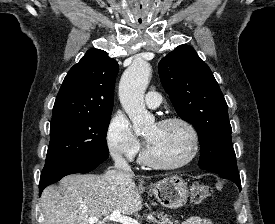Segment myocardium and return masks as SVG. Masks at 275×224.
Listing matches in <instances>:
<instances>
[{
  "instance_id": "f54148a6",
  "label": "myocardium",
  "mask_w": 275,
  "mask_h": 224,
  "mask_svg": "<svg viewBox=\"0 0 275 224\" xmlns=\"http://www.w3.org/2000/svg\"><path fill=\"white\" fill-rule=\"evenodd\" d=\"M171 123H179V124L183 125L188 130V132L190 133V136H191V140H192L191 152L185 160H183L179 163H175V164H167V163H163V162L156 160L152 156V154L148 148V145H147V147L144 151L143 158H144L145 163L151 167H154L157 169H162V170L180 169V168H183V167L189 165L190 163H192L198 154L199 135H198V132H197L196 128L194 127V125L191 122H189L187 119L179 117V116L164 117L157 122V124L161 125V126L171 124Z\"/></svg>"
}]
</instances>
